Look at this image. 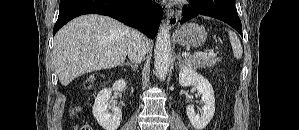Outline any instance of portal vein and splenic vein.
I'll list each match as a JSON object with an SVG mask.
<instances>
[{
  "mask_svg": "<svg viewBox=\"0 0 299 130\" xmlns=\"http://www.w3.org/2000/svg\"><path fill=\"white\" fill-rule=\"evenodd\" d=\"M190 54L188 53V52H183L182 53V56L183 57H187V56H189ZM194 56H203V57H211V56H215V53H214V51H210V52H196V53H194L193 54Z\"/></svg>",
  "mask_w": 299,
  "mask_h": 130,
  "instance_id": "obj_1",
  "label": "portal vein and splenic vein"
}]
</instances>
